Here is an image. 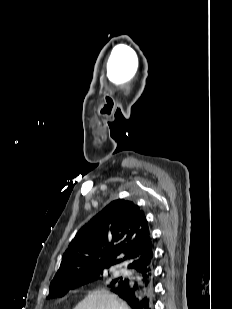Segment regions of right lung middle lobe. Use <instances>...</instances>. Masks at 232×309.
Segmentation results:
<instances>
[{"label":"right lung middle lobe","mask_w":232,"mask_h":309,"mask_svg":"<svg viewBox=\"0 0 232 309\" xmlns=\"http://www.w3.org/2000/svg\"><path fill=\"white\" fill-rule=\"evenodd\" d=\"M103 271H98L86 275H82L76 279L69 280V281H63V282H57L53 286H51L49 296L48 297H53L56 295H60L61 297L64 296L70 289H73L77 286H81L93 281H97L102 279ZM123 278L115 279L112 280L110 283V286L114 287L121 283Z\"/></svg>","instance_id":"obj_1"}]
</instances>
